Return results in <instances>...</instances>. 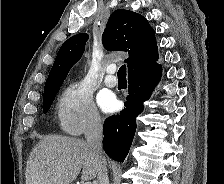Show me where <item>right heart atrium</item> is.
I'll return each instance as SVG.
<instances>
[{
	"instance_id": "obj_1",
	"label": "right heart atrium",
	"mask_w": 224,
	"mask_h": 184,
	"mask_svg": "<svg viewBox=\"0 0 224 184\" xmlns=\"http://www.w3.org/2000/svg\"><path fill=\"white\" fill-rule=\"evenodd\" d=\"M56 114L59 126L71 135L95 131L102 125L91 92L81 81L74 82L63 90Z\"/></svg>"
}]
</instances>
